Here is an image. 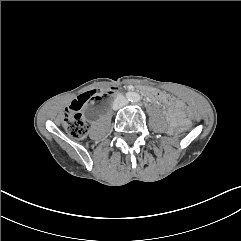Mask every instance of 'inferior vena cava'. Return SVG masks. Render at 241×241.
Instances as JSON below:
<instances>
[{
  "label": "inferior vena cava",
  "instance_id": "602c4592",
  "mask_svg": "<svg viewBox=\"0 0 241 241\" xmlns=\"http://www.w3.org/2000/svg\"><path fill=\"white\" fill-rule=\"evenodd\" d=\"M128 104V100L123 95H118L113 102V109L118 110Z\"/></svg>",
  "mask_w": 241,
  "mask_h": 241
}]
</instances>
